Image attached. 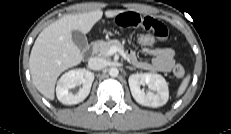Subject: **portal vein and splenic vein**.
<instances>
[{
  "instance_id": "1",
  "label": "portal vein and splenic vein",
  "mask_w": 231,
  "mask_h": 134,
  "mask_svg": "<svg viewBox=\"0 0 231 134\" xmlns=\"http://www.w3.org/2000/svg\"><path fill=\"white\" fill-rule=\"evenodd\" d=\"M119 52V49L115 46L111 47L108 51V55H113L115 53Z\"/></svg>"
}]
</instances>
